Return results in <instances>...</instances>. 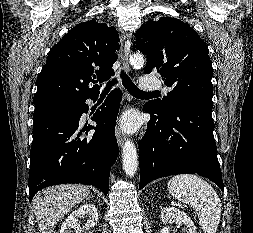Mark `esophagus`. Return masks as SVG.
<instances>
[{"mask_svg":"<svg viewBox=\"0 0 253 233\" xmlns=\"http://www.w3.org/2000/svg\"><path fill=\"white\" fill-rule=\"evenodd\" d=\"M131 38L132 34L131 32H125L122 35V46H123V57H122V62H123V67L126 71L130 70L129 66V54H130V48H131ZM116 139L118 144L121 146L124 141V136L123 133L121 132L120 128L117 126L116 127Z\"/></svg>","mask_w":253,"mask_h":233,"instance_id":"1","label":"esophagus"}]
</instances>
